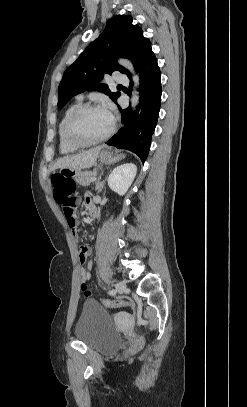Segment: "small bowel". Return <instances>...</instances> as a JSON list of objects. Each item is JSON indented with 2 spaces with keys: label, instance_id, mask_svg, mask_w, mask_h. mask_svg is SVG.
Segmentation results:
<instances>
[{
  "label": "small bowel",
  "instance_id": "obj_1",
  "mask_svg": "<svg viewBox=\"0 0 247 407\" xmlns=\"http://www.w3.org/2000/svg\"><path fill=\"white\" fill-rule=\"evenodd\" d=\"M91 199H87L90 202ZM62 207L63 215L67 221V224L74 237L78 234V217H77V205L78 199L74 196L70 197L65 203L60 204ZM90 247L82 246L79 250L78 257L80 262V275L83 282H87L90 279L91 263H86L87 258L90 255Z\"/></svg>",
  "mask_w": 247,
  "mask_h": 407
}]
</instances>
